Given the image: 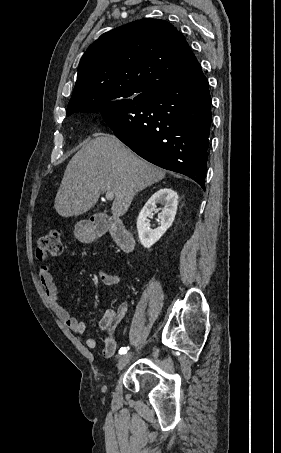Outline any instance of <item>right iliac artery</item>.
<instances>
[{
	"instance_id": "1",
	"label": "right iliac artery",
	"mask_w": 281,
	"mask_h": 453,
	"mask_svg": "<svg viewBox=\"0 0 281 453\" xmlns=\"http://www.w3.org/2000/svg\"><path fill=\"white\" fill-rule=\"evenodd\" d=\"M129 349V347H121L120 350H119V354H126L127 353V350Z\"/></svg>"
}]
</instances>
